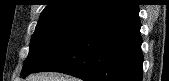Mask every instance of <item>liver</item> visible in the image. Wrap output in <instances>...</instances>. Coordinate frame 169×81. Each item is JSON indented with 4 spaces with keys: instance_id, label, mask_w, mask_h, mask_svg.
Listing matches in <instances>:
<instances>
[{
    "instance_id": "liver-1",
    "label": "liver",
    "mask_w": 169,
    "mask_h": 81,
    "mask_svg": "<svg viewBox=\"0 0 169 81\" xmlns=\"http://www.w3.org/2000/svg\"><path fill=\"white\" fill-rule=\"evenodd\" d=\"M30 81H74V78L58 73H40L32 75Z\"/></svg>"
}]
</instances>
